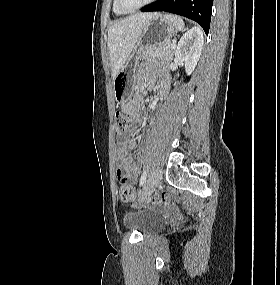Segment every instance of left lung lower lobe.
<instances>
[{
    "label": "left lung lower lobe",
    "instance_id": "left-lung-lower-lobe-1",
    "mask_svg": "<svg viewBox=\"0 0 280 285\" xmlns=\"http://www.w3.org/2000/svg\"><path fill=\"white\" fill-rule=\"evenodd\" d=\"M213 0H157L141 9L178 14L199 23L208 34Z\"/></svg>",
    "mask_w": 280,
    "mask_h": 285
}]
</instances>
